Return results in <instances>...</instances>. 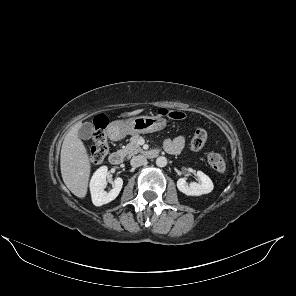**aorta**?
I'll list each match as a JSON object with an SVG mask.
<instances>
[{
    "mask_svg": "<svg viewBox=\"0 0 296 296\" xmlns=\"http://www.w3.org/2000/svg\"><path fill=\"white\" fill-rule=\"evenodd\" d=\"M156 165L158 167H165L167 165V158L164 157V156H159L157 159H156Z\"/></svg>",
    "mask_w": 296,
    "mask_h": 296,
    "instance_id": "1",
    "label": "aorta"
}]
</instances>
